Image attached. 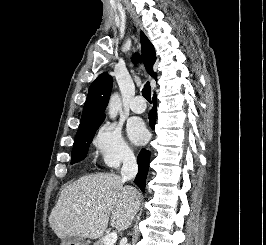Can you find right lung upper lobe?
<instances>
[{"label": "right lung upper lobe", "instance_id": "right-lung-upper-lobe-1", "mask_svg": "<svg viewBox=\"0 0 266 245\" xmlns=\"http://www.w3.org/2000/svg\"><path fill=\"white\" fill-rule=\"evenodd\" d=\"M141 58L147 72L156 79V73L153 72V64L156 61L155 50L146 35L141 32ZM113 79L107 73H102L90 85L87 100L84 105L81 124L89 123L96 119L105 117L103 112L109 101Z\"/></svg>", "mask_w": 266, "mask_h": 245}]
</instances>
